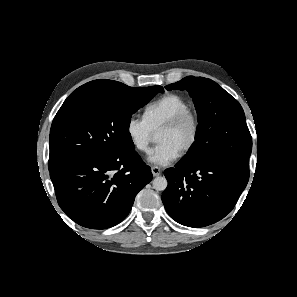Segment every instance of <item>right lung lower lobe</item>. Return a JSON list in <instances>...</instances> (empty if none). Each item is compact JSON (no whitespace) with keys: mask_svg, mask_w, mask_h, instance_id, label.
<instances>
[{"mask_svg":"<svg viewBox=\"0 0 297 297\" xmlns=\"http://www.w3.org/2000/svg\"><path fill=\"white\" fill-rule=\"evenodd\" d=\"M61 209L77 224L106 229L130 212L152 173L135 150L69 160L50 171Z\"/></svg>","mask_w":297,"mask_h":297,"instance_id":"1","label":"right lung lower lobe"}]
</instances>
